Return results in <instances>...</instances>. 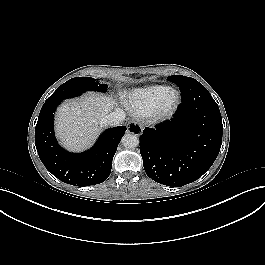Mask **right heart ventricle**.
Listing matches in <instances>:
<instances>
[{
	"label": "right heart ventricle",
	"mask_w": 265,
	"mask_h": 265,
	"mask_svg": "<svg viewBox=\"0 0 265 265\" xmlns=\"http://www.w3.org/2000/svg\"><path fill=\"white\" fill-rule=\"evenodd\" d=\"M169 89L165 85H154L135 90L127 95L126 105L136 116L148 117L155 104Z\"/></svg>",
	"instance_id": "obj_1"
}]
</instances>
